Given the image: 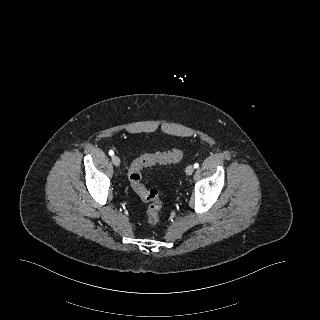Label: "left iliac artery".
<instances>
[{"instance_id":"1","label":"left iliac artery","mask_w":320,"mask_h":320,"mask_svg":"<svg viewBox=\"0 0 320 320\" xmlns=\"http://www.w3.org/2000/svg\"><path fill=\"white\" fill-rule=\"evenodd\" d=\"M194 167H195V168H198V167H199V164H198V163H195V164H194Z\"/></svg>"}]
</instances>
